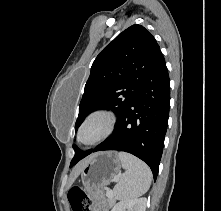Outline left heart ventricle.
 Listing matches in <instances>:
<instances>
[{"label":"left heart ventricle","instance_id":"b2bd125f","mask_svg":"<svg viewBox=\"0 0 221 211\" xmlns=\"http://www.w3.org/2000/svg\"><path fill=\"white\" fill-rule=\"evenodd\" d=\"M102 131V122L95 120L89 123L82 132V140L90 142L96 139Z\"/></svg>","mask_w":221,"mask_h":211}]
</instances>
